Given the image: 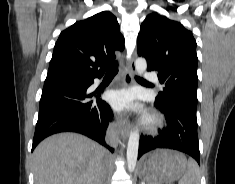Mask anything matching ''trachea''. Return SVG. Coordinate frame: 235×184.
<instances>
[{
	"instance_id": "obj_1",
	"label": "trachea",
	"mask_w": 235,
	"mask_h": 184,
	"mask_svg": "<svg viewBox=\"0 0 235 184\" xmlns=\"http://www.w3.org/2000/svg\"><path fill=\"white\" fill-rule=\"evenodd\" d=\"M117 71H118V62L113 63L111 66H109L106 72V77H114ZM136 78L139 79L140 81H144V79H142L141 77H136Z\"/></svg>"
}]
</instances>
